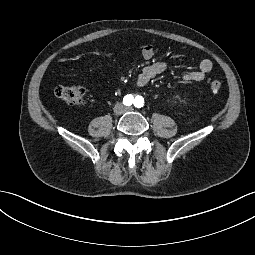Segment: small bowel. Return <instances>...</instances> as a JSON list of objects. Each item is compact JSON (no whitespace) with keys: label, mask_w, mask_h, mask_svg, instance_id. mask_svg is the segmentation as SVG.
Returning <instances> with one entry per match:
<instances>
[{"label":"small bowel","mask_w":255,"mask_h":255,"mask_svg":"<svg viewBox=\"0 0 255 255\" xmlns=\"http://www.w3.org/2000/svg\"><path fill=\"white\" fill-rule=\"evenodd\" d=\"M142 56L145 60H151L155 56V49L152 45L147 44L142 49ZM170 66V63L167 61H158L152 64L146 65L140 71L136 77L135 84L137 87H145L153 78L157 75L166 71ZM213 68V64L209 59H201L198 62V68L187 72L184 75V79L187 81H202L206 74L209 73Z\"/></svg>","instance_id":"obj_1"}]
</instances>
